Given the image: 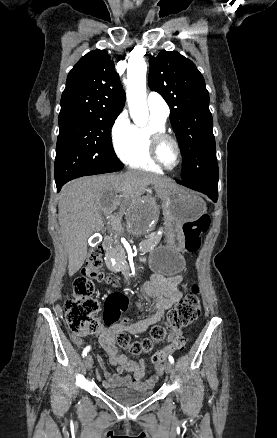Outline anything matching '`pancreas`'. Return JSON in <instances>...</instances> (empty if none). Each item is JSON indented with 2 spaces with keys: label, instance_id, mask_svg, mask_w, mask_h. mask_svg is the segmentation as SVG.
Listing matches in <instances>:
<instances>
[{
  "label": "pancreas",
  "instance_id": "pancreas-1",
  "mask_svg": "<svg viewBox=\"0 0 277 438\" xmlns=\"http://www.w3.org/2000/svg\"><path fill=\"white\" fill-rule=\"evenodd\" d=\"M141 244H136L134 250L136 253H149L151 248H156L161 238L160 231H147L143 233ZM120 231H109L107 233L108 245L105 257L108 270H119L120 267H129L130 253L122 251L124 248L119 245L123 239Z\"/></svg>",
  "mask_w": 277,
  "mask_h": 438
}]
</instances>
